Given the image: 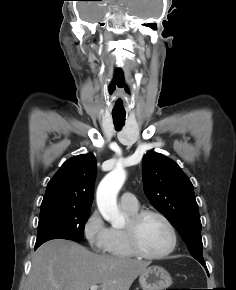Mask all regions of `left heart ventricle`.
<instances>
[{
  "label": "left heart ventricle",
  "mask_w": 236,
  "mask_h": 290,
  "mask_svg": "<svg viewBox=\"0 0 236 290\" xmlns=\"http://www.w3.org/2000/svg\"><path fill=\"white\" fill-rule=\"evenodd\" d=\"M138 236L142 249L150 254H158L165 251L171 242L168 228L162 220L155 216H147L141 222Z\"/></svg>",
  "instance_id": "obj_1"
}]
</instances>
